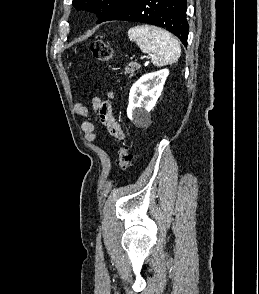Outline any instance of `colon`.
<instances>
[{
    "label": "colon",
    "mask_w": 259,
    "mask_h": 294,
    "mask_svg": "<svg viewBox=\"0 0 259 294\" xmlns=\"http://www.w3.org/2000/svg\"><path fill=\"white\" fill-rule=\"evenodd\" d=\"M88 48L91 51L95 59L101 62H107L112 57L111 46L102 40H93L88 44ZM133 155L129 146L123 145L119 149L118 162L121 170L126 171L132 163Z\"/></svg>",
    "instance_id": "5ec220e1"
}]
</instances>
